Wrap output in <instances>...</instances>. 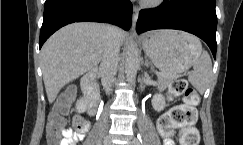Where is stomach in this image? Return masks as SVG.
Instances as JSON below:
<instances>
[{
  "label": "stomach",
  "instance_id": "obj_1",
  "mask_svg": "<svg viewBox=\"0 0 243 145\" xmlns=\"http://www.w3.org/2000/svg\"><path fill=\"white\" fill-rule=\"evenodd\" d=\"M143 48L152 63L165 74L187 71L202 49L196 37L176 30H160L146 36Z\"/></svg>",
  "mask_w": 243,
  "mask_h": 145
}]
</instances>
